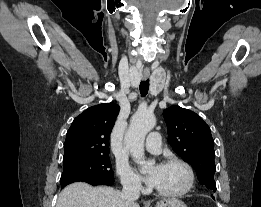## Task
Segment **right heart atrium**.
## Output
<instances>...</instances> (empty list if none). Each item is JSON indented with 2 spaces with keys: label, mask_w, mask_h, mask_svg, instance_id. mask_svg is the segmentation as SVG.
I'll return each instance as SVG.
<instances>
[{
  "label": "right heart atrium",
  "mask_w": 261,
  "mask_h": 207,
  "mask_svg": "<svg viewBox=\"0 0 261 207\" xmlns=\"http://www.w3.org/2000/svg\"><path fill=\"white\" fill-rule=\"evenodd\" d=\"M117 172L125 189L133 191H139L142 189L140 177L128 166L127 163H118Z\"/></svg>",
  "instance_id": "right-heart-atrium-1"
}]
</instances>
